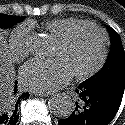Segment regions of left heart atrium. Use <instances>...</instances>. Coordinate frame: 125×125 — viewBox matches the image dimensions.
Instances as JSON below:
<instances>
[{
  "label": "left heart atrium",
  "instance_id": "39dd6f15",
  "mask_svg": "<svg viewBox=\"0 0 125 125\" xmlns=\"http://www.w3.org/2000/svg\"><path fill=\"white\" fill-rule=\"evenodd\" d=\"M73 73L64 60L56 57L51 60L34 59L20 70V82L36 93H49L67 84Z\"/></svg>",
  "mask_w": 125,
  "mask_h": 125
}]
</instances>
